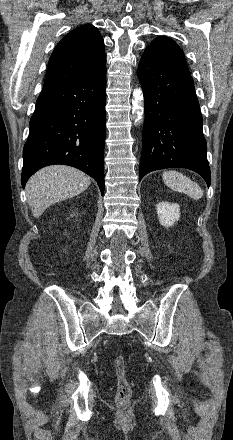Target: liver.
Wrapping results in <instances>:
<instances>
[{
	"mask_svg": "<svg viewBox=\"0 0 233 440\" xmlns=\"http://www.w3.org/2000/svg\"><path fill=\"white\" fill-rule=\"evenodd\" d=\"M90 177L64 165H52L36 172L26 185L28 204L35 218L51 205L74 197L90 185Z\"/></svg>",
	"mask_w": 233,
	"mask_h": 440,
	"instance_id": "1",
	"label": "liver"
}]
</instances>
